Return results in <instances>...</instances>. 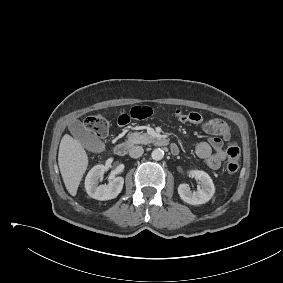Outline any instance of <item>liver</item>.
Instances as JSON below:
<instances>
[{
	"label": "liver",
	"instance_id": "6515ba94",
	"mask_svg": "<svg viewBox=\"0 0 283 283\" xmlns=\"http://www.w3.org/2000/svg\"><path fill=\"white\" fill-rule=\"evenodd\" d=\"M58 165L67 191L75 196L88 166V156L82 145L68 134L60 142Z\"/></svg>",
	"mask_w": 283,
	"mask_h": 283
}]
</instances>
